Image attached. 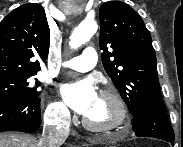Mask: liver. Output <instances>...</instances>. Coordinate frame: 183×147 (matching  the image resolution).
Here are the masks:
<instances>
[{
    "label": "liver",
    "mask_w": 183,
    "mask_h": 147,
    "mask_svg": "<svg viewBox=\"0 0 183 147\" xmlns=\"http://www.w3.org/2000/svg\"><path fill=\"white\" fill-rule=\"evenodd\" d=\"M38 140L30 135L18 133L0 134V147H38Z\"/></svg>",
    "instance_id": "6515ba94"
}]
</instances>
